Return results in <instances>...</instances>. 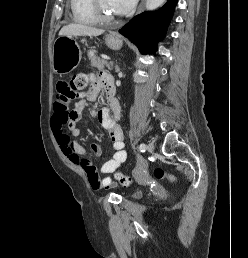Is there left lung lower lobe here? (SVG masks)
<instances>
[{
  "instance_id": "0a47b994",
  "label": "left lung lower lobe",
  "mask_w": 248,
  "mask_h": 258,
  "mask_svg": "<svg viewBox=\"0 0 248 258\" xmlns=\"http://www.w3.org/2000/svg\"><path fill=\"white\" fill-rule=\"evenodd\" d=\"M178 0H168L156 12H144L135 16L119 32L135 43L141 53H152L155 50L154 40L164 36Z\"/></svg>"
}]
</instances>
